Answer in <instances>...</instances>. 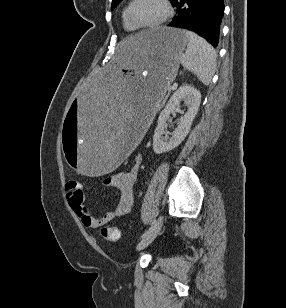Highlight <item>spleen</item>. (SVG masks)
Wrapping results in <instances>:
<instances>
[{
	"label": "spleen",
	"mask_w": 286,
	"mask_h": 308,
	"mask_svg": "<svg viewBox=\"0 0 286 308\" xmlns=\"http://www.w3.org/2000/svg\"><path fill=\"white\" fill-rule=\"evenodd\" d=\"M188 37L187 49L180 58L182 66L192 72L205 85L211 82L216 67V52L202 37L192 31H185Z\"/></svg>",
	"instance_id": "1"
}]
</instances>
